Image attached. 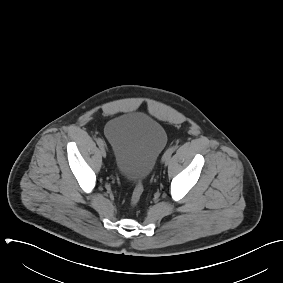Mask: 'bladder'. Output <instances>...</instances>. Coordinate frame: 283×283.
Instances as JSON below:
<instances>
[{
    "label": "bladder",
    "mask_w": 283,
    "mask_h": 283,
    "mask_svg": "<svg viewBox=\"0 0 283 283\" xmlns=\"http://www.w3.org/2000/svg\"><path fill=\"white\" fill-rule=\"evenodd\" d=\"M105 136L112 148L115 166L127 180L145 179L167 144L164 127L139 112L110 120Z\"/></svg>",
    "instance_id": "bladder-1"
}]
</instances>
